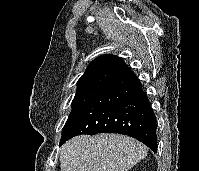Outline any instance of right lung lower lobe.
I'll return each mask as SVG.
<instances>
[{
  "mask_svg": "<svg viewBox=\"0 0 199 171\" xmlns=\"http://www.w3.org/2000/svg\"><path fill=\"white\" fill-rule=\"evenodd\" d=\"M97 133L131 136L156 153V116L131 69L115 76L90 99L61 138L60 145L76 135Z\"/></svg>",
  "mask_w": 199,
  "mask_h": 171,
  "instance_id": "1",
  "label": "right lung lower lobe"
}]
</instances>
